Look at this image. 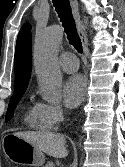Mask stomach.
Here are the masks:
<instances>
[{
    "mask_svg": "<svg viewBox=\"0 0 125 167\" xmlns=\"http://www.w3.org/2000/svg\"><path fill=\"white\" fill-rule=\"evenodd\" d=\"M3 143L6 156L15 163H24L34 167H41L44 164L45 156L41 150L22 138L13 135L5 137Z\"/></svg>",
    "mask_w": 125,
    "mask_h": 167,
    "instance_id": "0dacf381",
    "label": "stomach"
}]
</instances>
